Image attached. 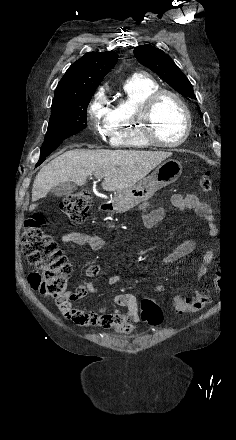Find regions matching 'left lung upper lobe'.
<instances>
[{"label":"left lung upper lobe","mask_w":236,"mask_h":440,"mask_svg":"<svg viewBox=\"0 0 236 440\" xmlns=\"http://www.w3.org/2000/svg\"><path fill=\"white\" fill-rule=\"evenodd\" d=\"M134 54L139 63L158 74L177 92L196 99L192 85L185 74L162 50L151 45H141L135 48ZM200 116L202 117V113Z\"/></svg>","instance_id":"left-lung-upper-lobe-1"}]
</instances>
